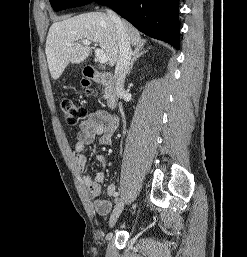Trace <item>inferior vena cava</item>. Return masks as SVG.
Masks as SVG:
<instances>
[{
    "label": "inferior vena cava",
    "instance_id": "obj_1",
    "mask_svg": "<svg viewBox=\"0 0 247 257\" xmlns=\"http://www.w3.org/2000/svg\"><path fill=\"white\" fill-rule=\"evenodd\" d=\"M107 15L115 23L119 42V56L115 66V78H116V93L117 96L123 97L125 95L124 82L127 75L130 60L132 56L131 45L128 39V35L125 26L118 15L112 11L107 10Z\"/></svg>",
    "mask_w": 247,
    "mask_h": 257
}]
</instances>
